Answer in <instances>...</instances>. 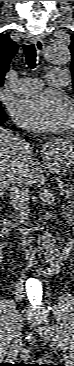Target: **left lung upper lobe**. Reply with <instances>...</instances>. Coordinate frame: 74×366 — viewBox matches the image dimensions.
I'll return each instance as SVG.
<instances>
[{"label":"left lung upper lobe","instance_id":"obj_1","mask_svg":"<svg viewBox=\"0 0 74 366\" xmlns=\"http://www.w3.org/2000/svg\"><path fill=\"white\" fill-rule=\"evenodd\" d=\"M69 49L72 54L71 72H72V86L74 88V35L71 36V44Z\"/></svg>","mask_w":74,"mask_h":366}]
</instances>
